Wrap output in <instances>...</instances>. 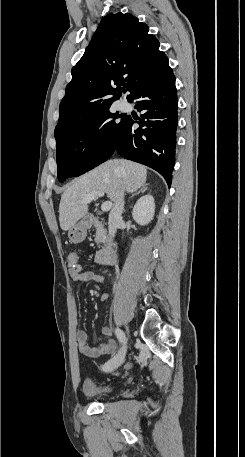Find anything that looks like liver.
<instances>
[{"instance_id":"obj_1","label":"liver","mask_w":245,"mask_h":457,"mask_svg":"<svg viewBox=\"0 0 245 457\" xmlns=\"http://www.w3.org/2000/svg\"><path fill=\"white\" fill-rule=\"evenodd\" d=\"M146 176V166L124 158L107 160L82 174L61 194L59 220L62 231H69L88 212V204L82 200L89 192L103 190L111 200H118L121 192H135L144 186Z\"/></svg>"}]
</instances>
